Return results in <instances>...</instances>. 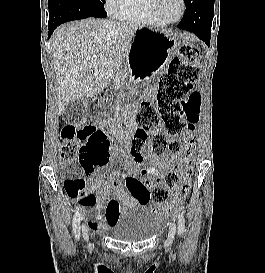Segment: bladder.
I'll list each match as a JSON object with an SVG mask.
<instances>
[{"instance_id":"31cf9c89","label":"bladder","mask_w":265,"mask_h":273,"mask_svg":"<svg viewBox=\"0 0 265 273\" xmlns=\"http://www.w3.org/2000/svg\"><path fill=\"white\" fill-rule=\"evenodd\" d=\"M160 216L138 204L125 208L118 219L109 226L108 233L123 242H142L152 238L160 227Z\"/></svg>"}]
</instances>
